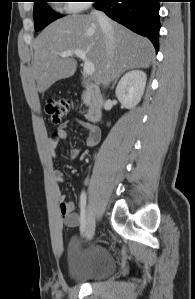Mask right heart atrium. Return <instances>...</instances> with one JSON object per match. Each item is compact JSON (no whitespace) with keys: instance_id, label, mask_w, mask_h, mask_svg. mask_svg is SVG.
Returning a JSON list of instances; mask_svg holds the SVG:
<instances>
[{"instance_id":"right-heart-atrium-1","label":"right heart atrium","mask_w":195,"mask_h":299,"mask_svg":"<svg viewBox=\"0 0 195 299\" xmlns=\"http://www.w3.org/2000/svg\"><path fill=\"white\" fill-rule=\"evenodd\" d=\"M87 0H69L65 3V9L72 13H78L87 9Z\"/></svg>"}]
</instances>
